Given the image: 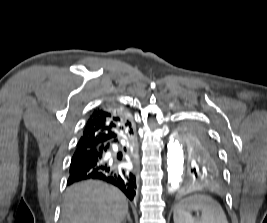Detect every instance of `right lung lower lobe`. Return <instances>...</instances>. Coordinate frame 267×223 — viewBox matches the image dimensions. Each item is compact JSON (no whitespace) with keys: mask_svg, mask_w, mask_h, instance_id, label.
I'll list each match as a JSON object with an SVG mask.
<instances>
[{"mask_svg":"<svg viewBox=\"0 0 267 223\" xmlns=\"http://www.w3.org/2000/svg\"><path fill=\"white\" fill-rule=\"evenodd\" d=\"M124 134L120 139L84 150L73 156L67 184L71 185L89 179L101 180L118 187L130 200H133L137 187L135 174L119 166H114L108 155L113 150L112 144L119 145L120 140L131 141L133 128L130 127ZM126 150L127 148L124 147V151ZM117 158L121 159L122 155L118 154Z\"/></svg>","mask_w":267,"mask_h":223,"instance_id":"98d812e1","label":"right lung lower lobe"}]
</instances>
